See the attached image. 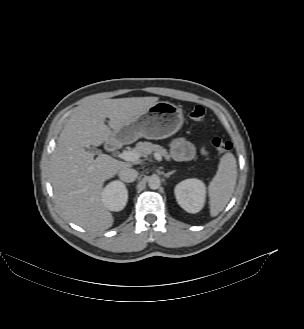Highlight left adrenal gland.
I'll return each instance as SVG.
<instances>
[{"label":"left adrenal gland","mask_w":304,"mask_h":329,"mask_svg":"<svg viewBox=\"0 0 304 329\" xmlns=\"http://www.w3.org/2000/svg\"><path fill=\"white\" fill-rule=\"evenodd\" d=\"M174 172H175V170L170 171V172H168V173H165V174H164V177L169 178L170 175H172Z\"/></svg>","instance_id":"obj_1"}]
</instances>
